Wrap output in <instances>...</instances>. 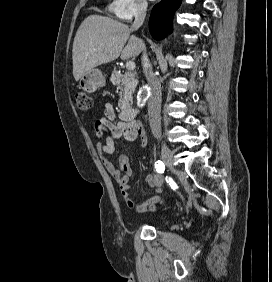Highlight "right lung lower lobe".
<instances>
[{"label": "right lung lower lobe", "mask_w": 272, "mask_h": 282, "mask_svg": "<svg viewBox=\"0 0 272 282\" xmlns=\"http://www.w3.org/2000/svg\"><path fill=\"white\" fill-rule=\"evenodd\" d=\"M180 3L181 0H162L153 7L149 19V30L154 39L161 40L171 32L173 14Z\"/></svg>", "instance_id": "right-lung-lower-lobe-1"}]
</instances>
